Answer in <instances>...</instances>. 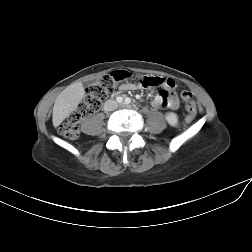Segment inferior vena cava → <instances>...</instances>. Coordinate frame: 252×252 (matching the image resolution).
Listing matches in <instances>:
<instances>
[{
	"label": "inferior vena cava",
	"mask_w": 252,
	"mask_h": 252,
	"mask_svg": "<svg viewBox=\"0 0 252 252\" xmlns=\"http://www.w3.org/2000/svg\"><path fill=\"white\" fill-rule=\"evenodd\" d=\"M118 107V104L115 100H107L105 103H104V111H113L115 110L116 108Z\"/></svg>",
	"instance_id": "obj_1"
}]
</instances>
